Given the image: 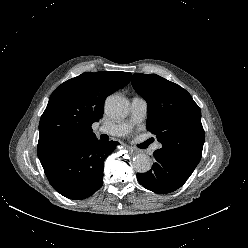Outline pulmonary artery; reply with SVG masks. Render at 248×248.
I'll return each mask as SVG.
<instances>
[{"instance_id": "obj_1", "label": "pulmonary artery", "mask_w": 248, "mask_h": 248, "mask_svg": "<svg viewBox=\"0 0 248 248\" xmlns=\"http://www.w3.org/2000/svg\"><path fill=\"white\" fill-rule=\"evenodd\" d=\"M148 104L142 97H133L131 99L130 118L126 121L109 122L101 125L97 130V134H107L111 136H124L131 128L142 122L147 114ZM159 144H156L154 149H157Z\"/></svg>"}]
</instances>
